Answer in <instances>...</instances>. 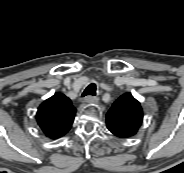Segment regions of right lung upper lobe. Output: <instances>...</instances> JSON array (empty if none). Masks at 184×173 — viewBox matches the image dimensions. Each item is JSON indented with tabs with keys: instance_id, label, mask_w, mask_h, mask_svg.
Wrapping results in <instances>:
<instances>
[{
	"instance_id": "1",
	"label": "right lung upper lobe",
	"mask_w": 184,
	"mask_h": 173,
	"mask_svg": "<svg viewBox=\"0 0 184 173\" xmlns=\"http://www.w3.org/2000/svg\"><path fill=\"white\" fill-rule=\"evenodd\" d=\"M75 113L71 100L62 93H55L39 106L36 118L47 137L58 139L70 130Z\"/></svg>"
}]
</instances>
